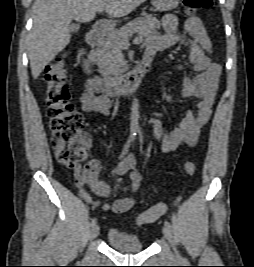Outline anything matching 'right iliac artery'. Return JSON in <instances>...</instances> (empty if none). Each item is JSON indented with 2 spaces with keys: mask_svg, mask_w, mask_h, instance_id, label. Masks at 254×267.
Masks as SVG:
<instances>
[{
  "mask_svg": "<svg viewBox=\"0 0 254 267\" xmlns=\"http://www.w3.org/2000/svg\"><path fill=\"white\" fill-rule=\"evenodd\" d=\"M129 146H130V143L127 142V144L125 145L119 159H122L125 156V154L127 153L128 149H129ZM96 223H97V219L96 218L92 219L91 226H94Z\"/></svg>",
  "mask_w": 254,
  "mask_h": 267,
  "instance_id": "82829eb1",
  "label": "right iliac artery"
}]
</instances>
